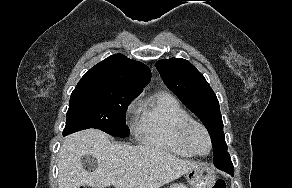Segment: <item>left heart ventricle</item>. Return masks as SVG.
<instances>
[{"label": "left heart ventricle", "mask_w": 292, "mask_h": 188, "mask_svg": "<svg viewBox=\"0 0 292 188\" xmlns=\"http://www.w3.org/2000/svg\"><path fill=\"white\" fill-rule=\"evenodd\" d=\"M191 144L199 153L205 154L209 150V142L205 133L199 129L194 128L190 136Z\"/></svg>", "instance_id": "left-heart-ventricle-1"}]
</instances>
